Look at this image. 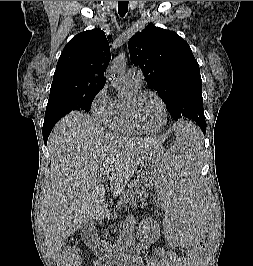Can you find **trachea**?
<instances>
[{
  "mask_svg": "<svg viewBox=\"0 0 253 266\" xmlns=\"http://www.w3.org/2000/svg\"><path fill=\"white\" fill-rule=\"evenodd\" d=\"M128 10V1H118V13L121 17L125 16Z\"/></svg>",
  "mask_w": 253,
  "mask_h": 266,
  "instance_id": "1",
  "label": "trachea"
}]
</instances>
